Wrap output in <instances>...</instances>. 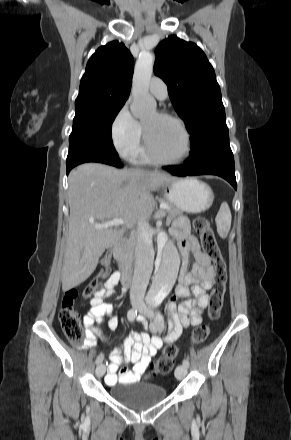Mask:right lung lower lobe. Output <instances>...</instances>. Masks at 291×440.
I'll return each instance as SVG.
<instances>
[{"label": "right lung lower lobe", "instance_id": "obj_1", "mask_svg": "<svg viewBox=\"0 0 291 440\" xmlns=\"http://www.w3.org/2000/svg\"><path fill=\"white\" fill-rule=\"evenodd\" d=\"M85 162H100L122 167L118 155L100 149L77 147L69 150L66 160L67 174L72 168Z\"/></svg>", "mask_w": 291, "mask_h": 440}]
</instances>
